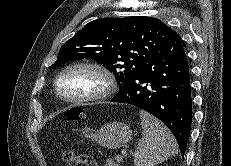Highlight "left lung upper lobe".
<instances>
[{
	"label": "left lung upper lobe",
	"mask_w": 231,
	"mask_h": 166,
	"mask_svg": "<svg viewBox=\"0 0 231 166\" xmlns=\"http://www.w3.org/2000/svg\"><path fill=\"white\" fill-rule=\"evenodd\" d=\"M175 33L152 17L97 19L86 24L61 47L52 67L78 59H93L114 72L121 91Z\"/></svg>",
	"instance_id": "obj_1"
}]
</instances>
